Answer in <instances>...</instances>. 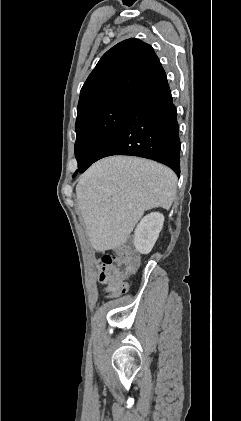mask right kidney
I'll return each instance as SVG.
<instances>
[{
	"label": "right kidney",
	"mask_w": 241,
	"mask_h": 421,
	"mask_svg": "<svg viewBox=\"0 0 241 421\" xmlns=\"http://www.w3.org/2000/svg\"><path fill=\"white\" fill-rule=\"evenodd\" d=\"M164 216L159 212L146 215L134 232V246L141 254H148L158 239L163 227Z\"/></svg>",
	"instance_id": "right-kidney-1"
}]
</instances>
